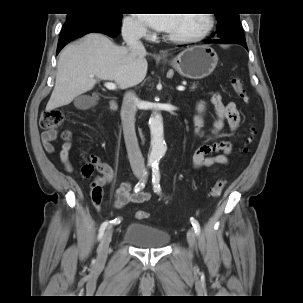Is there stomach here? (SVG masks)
I'll return each mask as SVG.
<instances>
[{"label":"stomach","mask_w":303,"mask_h":303,"mask_svg":"<svg viewBox=\"0 0 303 303\" xmlns=\"http://www.w3.org/2000/svg\"><path fill=\"white\" fill-rule=\"evenodd\" d=\"M217 62V53L211 47L198 45L183 50L171 61V65L186 78L202 79L213 72Z\"/></svg>","instance_id":"stomach-1"}]
</instances>
